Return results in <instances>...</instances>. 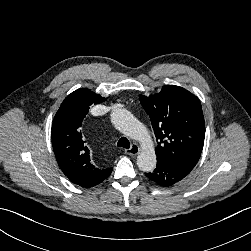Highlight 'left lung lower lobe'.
<instances>
[{
    "instance_id": "1",
    "label": "left lung lower lobe",
    "mask_w": 251,
    "mask_h": 251,
    "mask_svg": "<svg viewBox=\"0 0 251 251\" xmlns=\"http://www.w3.org/2000/svg\"><path fill=\"white\" fill-rule=\"evenodd\" d=\"M189 173V170L178 165L164 161H157V166L154 172L145 173V175L158 185L169 187L181 181Z\"/></svg>"
}]
</instances>
